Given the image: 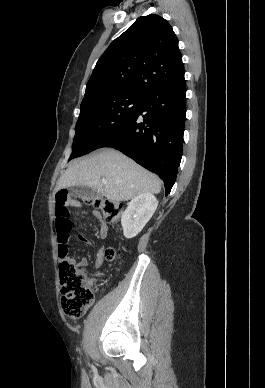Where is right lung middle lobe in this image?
Masks as SVG:
<instances>
[{
    "label": "right lung middle lobe",
    "mask_w": 265,
    "mask_h": 388,
    "mask_svg": "<svg viewBox=\"0 0 265 388\" xmlns=\"http://www.w3.org/2000/svg\"><path fill=\"white\" fill-rule=\"evenodd\" d=\"M142 95L101 90L84 97L69 160L97 148L139 107Z\"/></svg>",
    "instance_id": "obj_1"
}]
</instances>
